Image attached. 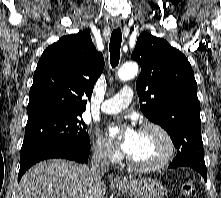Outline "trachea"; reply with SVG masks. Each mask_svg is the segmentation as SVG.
<instances>
[{
	"instance_id": "3493384b",
	"label": "trachea",
	"mask_w": 221,
	"mask_h": 198,
	"mask_svg": "<svg viewBox=\"0 0 221 198\" xmlns=\"http://www.w3.org/2000/svg\"><path fill=\"white\" fill-rule=\"evenodd\" d=\"M121 42L122 33L121 30L117 28L112 32L109 44L110 63L113 68L116 67L119 63Z\"/></svg>"
}]
</instances>
